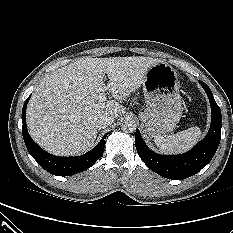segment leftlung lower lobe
<instances>
[{
  "label": "left lung lower lobe",
  "mask_w": 233,
  "mask_h": 233,
  "mask_svg": "<svg viewBox=\"0 0 233 233\" xmlns=\"http://www.w3.org/2000/svg\"><path fill=\"white\" fill-rule=\"evenodd\" d=\"M199 82L210 100L211 126L206 137L193 149L181 155H159L146 146L139 130H136L135 145L140 158L151 170L165 178L182 180L198 173L211 161L219 146L222 126L221 110L210 88L204 82Z\"/></svg>",
  "instance_id": "left-lung-lower-lobe-1"
}]
</instances>
